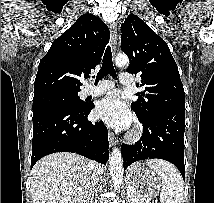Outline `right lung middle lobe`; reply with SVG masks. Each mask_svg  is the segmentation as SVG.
I'll return each mask as SVG.
<instances>
[{
    "label": "right lung middle lobe",
    "instance_id": "dd1d6c3e",
    "mask_svg": "<svg viewBox=\"0 0 214 203\" xmlns=\"http://www.w3.org/2000/svg\"><path fill=\"white\" fill-rule=\"evenodd\" d=\"M86 104L78 93H56L33 99V114L52 107L81 108Z\"/></svg>",
    "mask_w": 214,
    "mask_h": 203
}]
</instances>
